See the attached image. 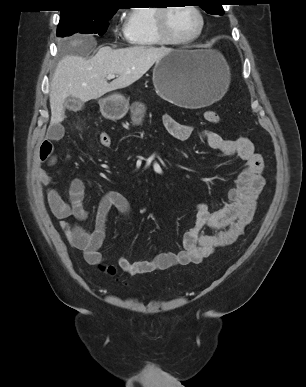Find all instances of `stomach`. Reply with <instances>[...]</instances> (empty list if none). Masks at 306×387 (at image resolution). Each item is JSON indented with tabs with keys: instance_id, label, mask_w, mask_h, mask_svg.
Returning a JSON list of instances; mask_svg holds the SVG:
<instances>
[{
	"instance_id": "1",
	"label": "stomach",
	"mask_w": 306,
	"mask_h": 387,
	"mask_svg": "<svg viewBox=\"0 0 306 387\" xmlns=\"http://www.w3.org/2000/svg\"><path fill=\"white\" fill-rule=\"evenodd\" d=\"M153 84L165 100L184 108L208 106L226 93L230 71L223 56L214 50H171L153 68ZM102 115L121 119L128 111V101L120 94L99 100Z\"/></svg>"
}]
</instances>
